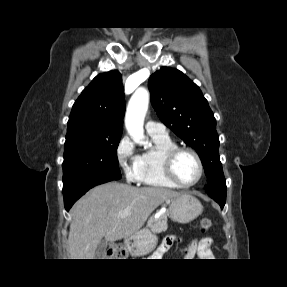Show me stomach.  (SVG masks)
I'll return each mask as SVG.
<instances>
[{
    "instance_id": "obj_1",
    "label": "stomach",
    "mask_w": 287,
    "mask_h": 287,
    "mask_svg": "<svg viewBox=\"0 0 287 287\" xmlns=\"http://www.w3.org/2000/svg\"><path fill=\"white\" fill-rule=\"evenodd\" d=\"M200 201L190 194H181L171 199L169 204L170 218L178 223L186 224L202 213ZM128 252L133 256L149 254L157 245V237L149 229H142L124 241Z\"/></svg>"
}]
</instances>
